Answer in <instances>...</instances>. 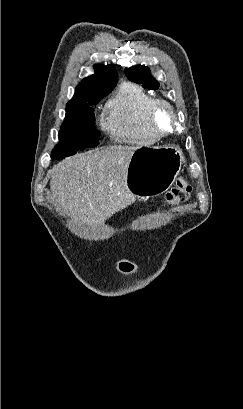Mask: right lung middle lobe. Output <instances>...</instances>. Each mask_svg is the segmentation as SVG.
I'll list each match as a JSON object with an SVG mask.
<instances>
[{
  "label": "right lung middle lobe",
  "instance_id": "right-lung-middle-lobe-1",
  "mask_svg": "<svg viewBox=\"0 0 243 409\" xmlns=\"http://www.w3.org/2000/svg\"><path fill=\"white\" fill-rule=\"evenodd\" d=\"M108 94L101 96L93 105ZM98 138L93 108H66V116L59 132V143L54 147L51 158L63 159L74 155L77 150L96 147Z\"/></svg>",
  "mask_w": 243,
  "mask_h": 409
}]
</instances>
